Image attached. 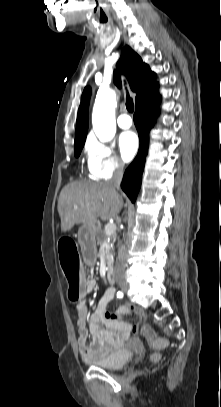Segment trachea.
Masks as SVG:
<instances>
[{"label": "trachea", "instance_id": "obj_1", "mask_svg": "<svg viewBox=\"0 0 221 407\" xmlns=\"http://www.w3.org/2000/svg\"><path fill=\"white\" fill-rule=\"evenodd\" d=\"M126 108L129 112H133L134 111V104H133V100L132 98L129 96V94H127V98H126Z\"/></svg>", "mask_w": 221, "mask_h": 407}]
</instances>
